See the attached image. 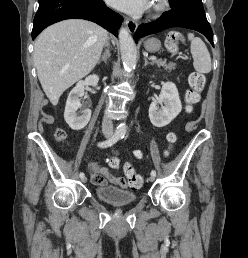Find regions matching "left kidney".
<instances>
[{
	"instance_id": "5707ae66",
	"label": "left kidney",
	"mask_w": 248,
	"mask_h": 258,
	"mask_svg": "<svg viewBox=\"0 0 248 258\" xmlns=\"http://www.w3.org/2000/svg\"><path fill=\"white\" fill-rule=\"evenodd\" d=\"M181 110L182 104L176 85L166 82L162 86L158 99L153 101L149 107V118L155 127L161 128L174 120Z\"/></svg>"
}]
</instances>
